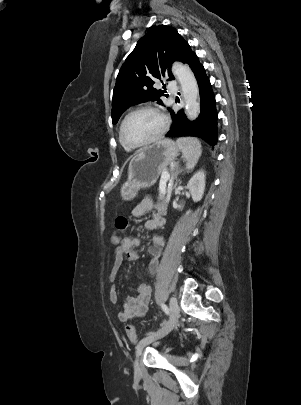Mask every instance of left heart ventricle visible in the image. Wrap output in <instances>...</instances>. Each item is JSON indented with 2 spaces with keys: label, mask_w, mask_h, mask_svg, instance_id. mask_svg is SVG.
I'll return each mask as SVG.
<instances>
[{
  "label": "left heart ventricle",
  "mask_w": 301,
  "mask_h": 405,
  "mask_svg": "<svg viewBox=\"0 0 301 405\" xmlns=\"http://www.w3.org/2000/svg\"><path fill=\"white\" fill-rule=\"evenodd\" d=\"M162 126L161 118L150 111L132 115L124 129L125 137L132 143H141L155 136Z\"/></svg>",
  "instance_id": "b2bd125f"
}]
</instances>
